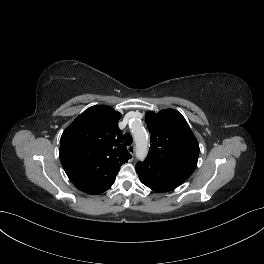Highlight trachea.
Here are the masks:
<instances>
[{
    "mask_svg": "<svg viewBox=\"0 0 264 264\" xmlns=\"http://www.w3.org/2000/svg\"><path fill=\"white\" fill-rule=\"evenodd\" d=\"M123 140H124V143L127 145V146H130L133 142V138L131 136L130 133H126L123 137Z\"/></svg>",
    "mask_w": 264,
    "mask_h": 264,
    "instance_id": "1",
    "label": "trachea"
}]
</instances>
